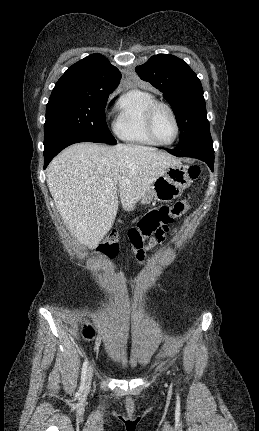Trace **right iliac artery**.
Segmentation results:
<instances>
[{
  "instance_id": "obj_1",
  "label": "right iliac artery",
  "mask_w": 259,
  "mask_h": 431,
  "mask_svg": "<svg viewBox=\"0 0 259 431\" xmlns=\"http://www.w3.org/2000/svg\"><path fill=\"white\" fill-rule=\"evenodd\" d=\"M87 367H88V361L87 359L84 361L82 366V372H81V386L80 389L83 390L85 386V379H86V373H87Z\"/></svg>"
}]
</instances>
